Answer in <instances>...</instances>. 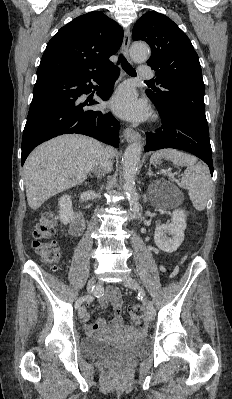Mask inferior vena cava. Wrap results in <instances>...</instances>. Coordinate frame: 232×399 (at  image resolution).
Segmentation results:
<instances>
[{
  "label": "inferior vena cava",
  "instance_id": "602c4592",
  "mask_svg": "<svg viewBox=\"0 0 232 399\" xmlns=\"http://www.w3.org/2000/svg\"><path fill=\"white\" fill-rule=\"evenodd\" d=\"M98 166H99V168H101V170H103V172H106V174H109V172H111V170H112V162L110 160V154H106V152H103V154L99 160Z\"/></svg>",
  "mask_w": 232,
  "mask_h": 399
}]
</instances>
